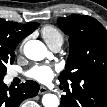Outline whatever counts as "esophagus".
Returning <instances> with one entry per match:
<instances>
[{"mask_svg": "<svg viewBox=\"0 0 107 107\" xmlns=\"http://www.w3.org/2000/svg\"><path fill=\"white\" fill-rule=\"evenodd\" d=\"M47 92H48L47 88H45L44 86H41V87H40V89H39V94H40V95H43V94H45V93H47Z\"/></svg>", "mask_w": 107, "mask_h": 107, "instance_id": "34e87169", "label": "esophagus"}]
</instances>
